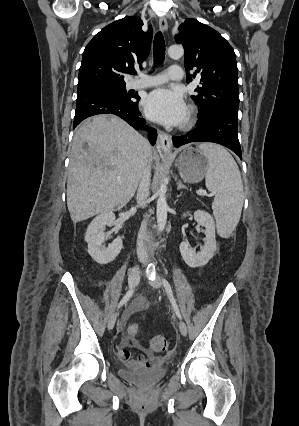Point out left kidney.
<instances>
[{
	"mask_svg": "<svg viewBox=\"0 0 299 426\" xmlns=\"http://www.w3.org/2000/svg\"><path fill=\"white\" fill-rule=\"evenodd\" d=\"M183 216L185 217L186 213ZM194 219L199 225L205 228L204 246L198 253L190 248L188 242H182L179 247L184 262L192 268L206 265L216 251L215 222L213 217L206 211L197 210L194 212Z\"/></svg>",
	"mask_w": 299,
	"mask_h": 426,
	"instance_id": "1",
	"label": "left kidney"
}]
</instances>
